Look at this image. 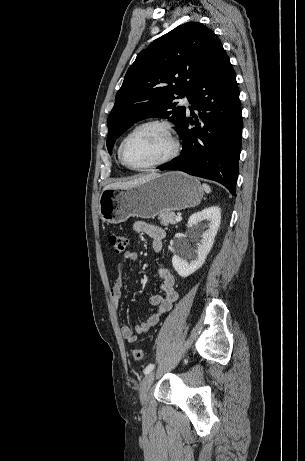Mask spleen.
Instances as JSON below:
<instances>
[{
    "label": "spleen",
    "mask_w": 305,
    "mask_h": 461,
    "mask_svg": "<svg viewBox=\"0 0 305 461\" xmlns=\"http://www.w3.org/2000/svg\"><path fill=\"white\" fill-rule=\"evenodd\" d=\"M202 187H203V190H204L206 193H210V192H211V188H210L209 185L203 184Z\"/></svg>",
    "instance_id": "1"
}]
</instances>
